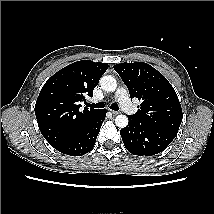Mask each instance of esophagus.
Masks as SVG:
<instances>
[{"instance_id":"1","label":"esophagus","mask_w":214,"mask_h":214,"mask_svg":"<svg viewBox=\"0 0 214 214\" xmlns=\"http://www.w3.org/2000/svg\"><path fill=\"white\" fill-rule=\"evenodd\" d=\"M111 112L113 115H118L120 113L119 111H114V110H111Z\"/></svg>"}]
</instances>
